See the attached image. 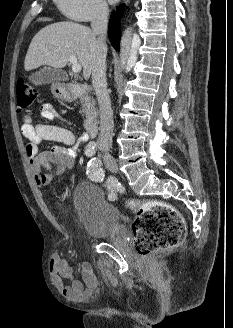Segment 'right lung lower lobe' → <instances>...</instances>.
<instances>
[{
    "label": "right lung lower lobe",
    "instance_id": "right-lung-lower-lobe-1",
    "mask_svg": "<svg viewBox=\"0 0 233 328\" xmlns=\"http://www.w3.org/2000/svg\"><path fill=\"white\" fill-rule=\"evenodd\" d=\"M122 8L123 7H118L116 12L115 11L112 12L111 19L109 22L108 35L111 40L112 46L116 50H119V36H120L119 18L123 16Z\"/></svg>",
    "mask_w": 233,
    "mask_h": 328
}]
</instances>
